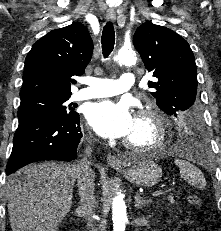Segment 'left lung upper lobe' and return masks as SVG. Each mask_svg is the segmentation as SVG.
<instances>
[{"mask_svg": "<svg viewBox=\"0 0 221 231\" xmlns=\"http://www.w3.org/2000/svg\"><path fill=\"white\" fill-rule=\"evenodd\" d=\"M134 46L148 72L157 78L149 81L158 107L168 115H191L199 105L197 70L189 44L176 32L151 22L134 34Z\"/></svg>", "mask_w": 221, "mask_h": 231, "instance_id": "left-lung-upper-lobe-1", "label": "left lung upper lobe"}]
</instances>
